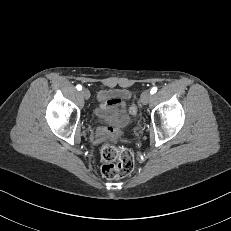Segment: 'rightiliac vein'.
Listing matches in <instances>:
<instances>
[{
	"label": "right iliac vein",
	"mask_w": 231,
	"mask_h": 231,
	"mask_svg": "<svg viewBox=\"0 0 231 231\" xmlns=\"http://www.w3.org/2000/svg\"><path fill=\"white\" fill-rule=\"evenodd\" d=\"M81 95L83 96V98L85 99H89L90 98V92L88 89H82L81 90Z\"/></svg>",
	"instance_id": "obj_1"
}]
</instances>
